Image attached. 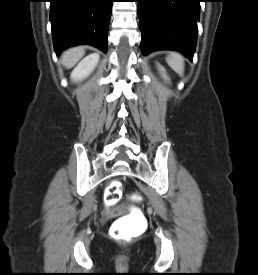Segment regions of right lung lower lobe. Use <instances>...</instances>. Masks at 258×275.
<instances>
[{"label": "right lung lower lobe", "mask_w": 258, "mask_h": 275, "mask_svg": "<svg viewBox=\"0 0 258 275\" xmlns=\"http://www.w3.org/2000/svg\"><path fill=\"white\" fill-rule=\"evenodd\" d=\"M50 20L54 48L89 44L107 52L112 0H51Z\"/></svg>", "instance_id": "obj_1"}]
</instances>
